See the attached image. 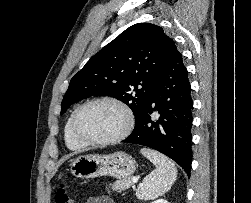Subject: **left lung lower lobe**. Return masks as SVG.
Returning a JSON list of instances; mask_svg holds the SVG:
<instances>
[{
    "mask_svg": "<svg viewBox=\"0 0 251 203\" xmlns=\"http://www.w3.org/2000/svg\"><path fill=\"white\" fill-rule=\"evenodd\" d=\"M192 109L188 71L174 45L133 132L122 142L153 148L170 157L190 175Z\"/></svg>",
    "mask_w": 251,
    "mask_h": 203,
    "instance_id": "left-lung-lower-lobe-1",
    "label": "left lung lower lobe"
}]
</instances>
